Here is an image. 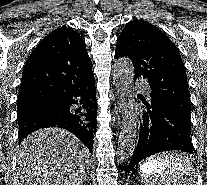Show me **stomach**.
<instances>
[{"mask_svg": "<svg viewBox=\"0 0 207 185\" xmlns=\"http://www.w3.org/2000/svg\"><path fill=\"white\" fill-rule=\"evenodd\" d=\"M151 169H154L153 165H145L144 163L140 166V170L142 172H145V171H150Z\"/></svg>", "mask_w": 207, "mask_h": 185, "instance_id": "stomach-1", "label": "stomach"}]
</instances>
